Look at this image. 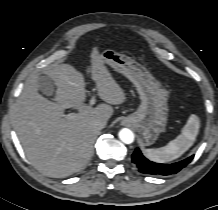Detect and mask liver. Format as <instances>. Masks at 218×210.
I'll return each mask as SVG.
<instances>
[{"instance_id": "1", "label": "liver", "mask_w": 218, "mask_h": 210, "mask_svg": "<svg viewBox=\"0 0 218 210\" xmlns=\"http://www.w3.org/2000/svg\"><path fill=\"white\" fill-rule=\"evenodd\" d=\"M45 74L57 86L55 102L39 94V77H30L14 108V128L34 167L49 177L64 178L89 162L99 134L94 123L107 121L113 114L111 105L124 103L126 96L97 48L91 52V75L104 104L95 108L85 105L84 77L73 66L57 65L47 68ZM68 108L78 109V116L63 118Z\"/></svg>"}]
</instances>
